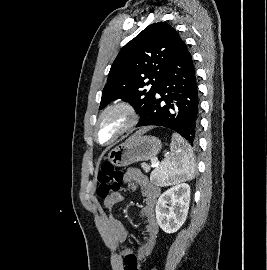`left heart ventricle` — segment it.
Returning a JSON list of instances; mask_svg holds the SVG:
<instances>
[{"label":"left heart ventricle","instance_id":"1","mask_svg":"<svg viewBox=\"0 0 267 270\" xmlns=\"http://www.w3.org/2000/svg\"><path fill=\"white\" fill-rule=\"evenodd\" d=\"M127 120V115L121 110L108 113L99 124V140L103 143L110 141L122 130Z\"/></svg>","mask_w":267,"mask_h":270}]
</instances>
